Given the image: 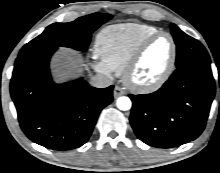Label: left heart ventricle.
<instances>
[{
  "mask_svg": "<svg viewBox=\"0 0 220 173\" xmlns=\"http://www.w3.org/2000/svg\"><path fill=\"white\" fill-rule=\"evenodd\" d=\"M171 56V43L168 37L163 36L152 42L144 54L132 80L137 83H150L156 80L167 68Z\"/></svg>",
  "mask_w": 220,
  "mask_h": 173,
  "instance_id": "1",
  "label": "left heart ventricle"
}]
</instances>
